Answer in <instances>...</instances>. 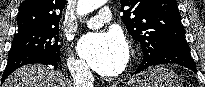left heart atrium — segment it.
<instances>
[{
    "label": "left heart atrium",
    "instance_id": "39dd6f15",
    "mask_svg": "<svg viewBox=\"0 0 205 87\" xmlns=\"http://www.w3.org/2000/svg\"><path fill=\"white\" fill-rule=\"evenodd\" d=\"M78 52L87 63L104 76L121 72L128 59V46L117 31L90 33L78 44Z\"/></svg>",
    "mask_w": 205,
    "mask_h": 87
}]
</instances>
